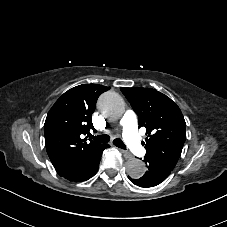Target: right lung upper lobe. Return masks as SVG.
Here are the masks:
<instances>
[{
    "label": "right lung upper lobe",
    "instance_id": "obj_1",
    "mask_svg": "<svg viewBox=\"0 0 227 227\" xmlns=\"http://www.w3.org/2000/svg\"><path fill=\"white\" fill-rule=\"evenodd\" d=\"M109 89L98 84L76 86L65 92L50 109L44 133L54 168L75 171L90 152L102 146L84 136L95 130L92 114L97 99Z\"/></svg>",
    "mask_w": 227,
    "mask_h": 227
}]
</instances>
